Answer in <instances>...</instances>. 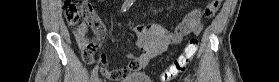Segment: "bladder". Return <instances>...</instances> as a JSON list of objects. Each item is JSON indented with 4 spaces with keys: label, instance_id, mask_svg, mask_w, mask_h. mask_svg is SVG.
Listing matches in <instances>:
<instances>
[{
    "label": "bladder",
    "instance_id": "1",
    "mask_svg": "<svg viewBox=\"0 0 279 82\" xmlns=\"http://www.w3.org/2000/svg\"><path fill=\"white\" fill-rule=\"evenodd\" d=\"M116 82H151L148 75L144 72H133Z\"/></svg>",
    "mask_w": 279,
    "mask_h": 82
}]
</instances>
